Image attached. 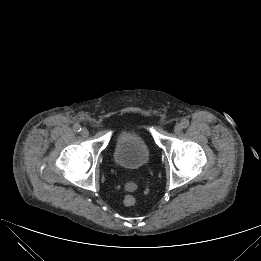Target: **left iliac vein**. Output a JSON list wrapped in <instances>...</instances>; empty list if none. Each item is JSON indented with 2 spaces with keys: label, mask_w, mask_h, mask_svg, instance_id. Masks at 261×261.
I'll return each mask as SVG.
<instances>
[{
  "label": "left iliac vein",
  "mask_w": 261,
  "mask_h": 261,
  "mask_svg": "<svg viewBox=\"0 0 261 261\" xmlns=\"http://www.w3.org/2000/svg\"><path fill=\"white\" fill-rule=\"evenodd\" d=\"M181 130H182L181 124H179V123L175 124V126H174V132H175L176 134H179V133L181 132Z\"/></svg>",
  "instance_id": "left-iliac-vein-1"
}]
</instances>
